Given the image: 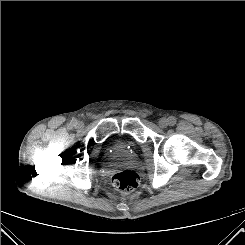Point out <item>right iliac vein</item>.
<instances>
[{"label":"right iliac vein","mask_w":245,"mask_h":245,"mask_svg":"<svg viewBox=\"0 0 245 245\" xmlns=\"http://www.w3.org/2000/svg\"><path fill=\"white\" fill-rule=\"evenodd\" d=\"M83 127V123L82 122H77L76 123V128L81 129Z\"/></svg>","instance_id":"right-iliac-vein-1"}]
</instances>
